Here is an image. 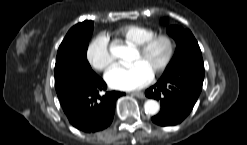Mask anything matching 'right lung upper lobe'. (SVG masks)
<instances>
[{
    "label": "right lung upper lobe",
    "instance_id": "obj_1",
    "mask_svg": "<svg viewBox=\"0 0 247 145\" xmlns=\"http://www.w3.org/2000/svg\"><path fill=\"white\" fill-rule=\"evenodd\" d=\"M87 22H89V21H84V22H82V23H80V24H85V23H87Z\"/></svg>",
    "mask_w": 247,
    "mask_h": 145
}]
</instances>
